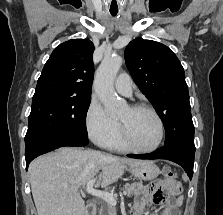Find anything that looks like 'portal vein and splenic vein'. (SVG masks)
Instances as JSON below:
<instances>
[{
    "instance_id": "18ae733b",
    "label": "portal vein and splenic vein",
    "mask_w": 223,
    "mask_h": 215,
    "mask_svg": "<svg viewBox=\"0 0 223 215\" xmlns=\"http://www.w3.org/2000/svg\"><path fill=\"white\" fill-rule=\"evenodd\" d=\"M95 181L96 177H93V179L87 181L86 191H88V193H91V195H98V197H102V199H105V201H107V203H110V205H117V201L115 197H113V193H109V191H101V189H94L93 185ZM122 193L124 195H127V192L125 190Z\"/></svg>"
}]
</instances>
